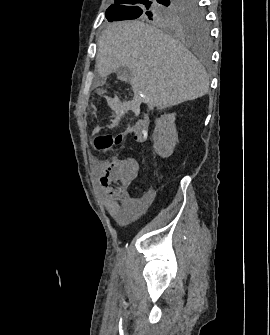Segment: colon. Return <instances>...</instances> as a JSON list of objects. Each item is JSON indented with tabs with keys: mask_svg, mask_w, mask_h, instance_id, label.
Instances as JSON below:
<instances>
[{
	"mask_svg": "<svg viewBox=\"0 0 270 335\" xmlns=\"http://www.w3.org/2000/svg\"><path fill=\"white\" fill-rule=\"evenodd\" d=\"M127 134V131L110 135L107 133H102L100 135H97L94 139V146L96 151L102 152L109 150L113 146L119 145L123 142L125 136Z\"/></svg>",
	"mask_w": 270,
	"mask_h": 335,
	"instance_id": "obj_1",
	"label": "colon"
}]
</instances>
